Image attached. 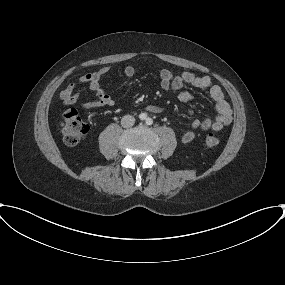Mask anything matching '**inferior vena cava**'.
Wrapping results in <instances>:
<instances>
[{
	"label": "inferior vena cava",
	"instance_id": "602c4592",
	"mask_svg": "<svg viewBox=\"0 0 285 285\" xmlns=\"http://www.w3.org/2000/svg\"><path fill=\"white\" fill-rule=\"evenodd\" d=\"M135 123V118L131 115H125L121 119V125L124 128L132 127Z\"/></svg>",
	"mask_w": 285,
	"mask_h": 285
}]
</instances>
